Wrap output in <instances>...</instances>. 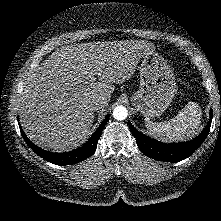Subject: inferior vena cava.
I'll return each mask as SVG.
<instances>
[{
	"label": "inferior vena cava",
	"mask_w": 221,
	"mask_h": 221,
	"mask_svg": "<svg viewBox=\"0 0 221 221\" xmlns=\"http://www.w3.org/2000/svg\"><path fill=\"white\" fill-rule=\"evenodd\" d=\"M106 101L102 100V99H98L96 100L94 103H93V109L94 110H99V109H102L106 106Z\"/></svg>",
	"instance_id": "obj_1"
}]
</instances>
